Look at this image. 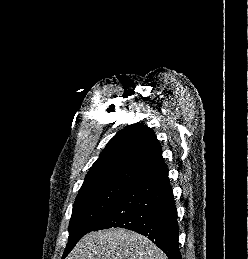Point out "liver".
Segmentation results:
<instances>
[{"instance_id": "6515ba94", "label": "liver", "mask_w": 248, "mask_h": 259, "mask_svg": "<svg viewBox=\"0 0 248 259\" xmlns=\"http://www.w3.org/2000/svg\"><path fill=\"white\" fill-rule=\"evenodd\" d=\"M68 259L168 258L145 236L123 228H112L86 234Z\"/></svg>"}]
</instances>
